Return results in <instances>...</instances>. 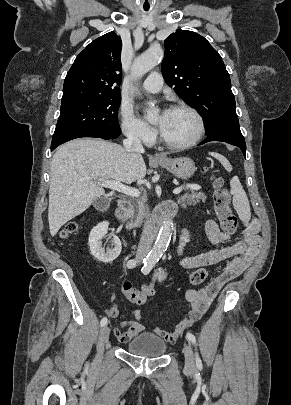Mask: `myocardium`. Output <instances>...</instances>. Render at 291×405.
I'll return each mask as SVG.
<instances>
[{"label": "myocardium", "mask_w": 291, "mask_h": 405, "mask_svg": "<svg viewBox=\"0 0 291 405\" xmlns=\"http://www.w3.org/2000/svg\"><path fill=\"white\" fill-rule=\"evenodd\" d=\"M170 110H186V111L190 112L197 121V132H196L195 136L187 142L173 143V142L168 141L160 131L159 132L160 143L163 144L165 147L174 149V150H185V149L195 146L203 138L205 131H206V125H205L203 116L200 114V112L196 108H194L193 106L186 104V103L174 104L170 107Z\"/></svg>", "instance_id": "f54148a6"}]
</instances>
